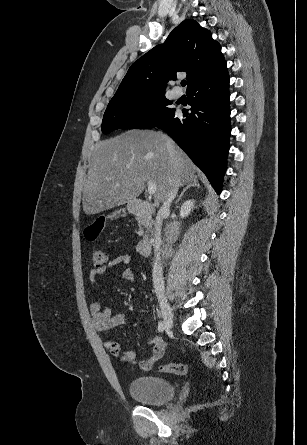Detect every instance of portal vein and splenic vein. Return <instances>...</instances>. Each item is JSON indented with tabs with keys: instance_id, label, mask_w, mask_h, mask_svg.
Returning <instances> with one entry per match:
<instances>
[{
	"instance_id": "1",
	"label": "portal vein and splenic vein",
	"mask_w": 307,
	"mask_h": 445,
	"mask_svg": "<svg viewBox=\"0 0 307 445\" xmlns=\"http://www.w3.org/2000/svg\"><path fill=\"white\" fill-rule=\"evenodd\" d=\"M156 184L155 182H153V180H150V178H148L147 180V190H148V194H154V192H156Z\"/></svg>"
}]
</instances>
